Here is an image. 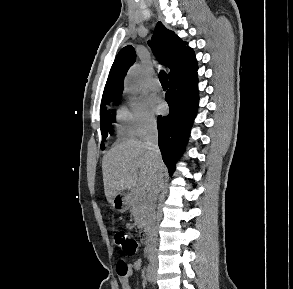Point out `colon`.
Wrapping results in <instances>:
<instances>
[{
	"mask_svg": "<svg viewBox=\"0 0 293 289\" xmlns=\"http://www.w3.org/2000/svg\"><path fill=\"white\" fill-rule=\"evenodd\" d=\"M114 240L117 246L122 250L126 255L133 256L138 252L139 245L137 241L132 238L129 234L122 230H116L114 232ZM128 271L126 265L120 267V272L125 274Z\"/></svg>",
	"mask_w": 293,
	"mask_h": 289,
	"instance_id": "1",
	"label": "colon"
}]
</instances>
